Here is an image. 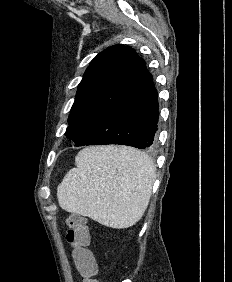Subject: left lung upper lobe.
Wrapping results in <instances>:
<instances>
[{
	"label": "left lung upper lobe",
	"mask_w": 232,
	"mask_h": 282,
	"mask_svg": "<svg viewBox=\"0 0 232 282\" xmlns=\"http://www.w3.org/2000/svg\"><path fill=\"white\" fill-rule=\"evenodd\" d=\"M140 59L134 49L114 45L92 60L78 85L65 133L74 146L89 139L100 111L130 77Z\"/></svg>",
	"instance_id": "5c2ea615"
}]
</instances>
